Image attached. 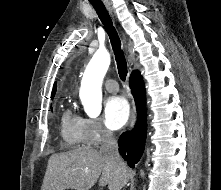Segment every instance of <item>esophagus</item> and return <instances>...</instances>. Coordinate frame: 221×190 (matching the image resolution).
I'll use <instances>...</instances> for the list:
<instances>
[{"label": "esophagus", "mask_w": 221, "mask_h": 190, "mask_svg": "<svg viewBox=\"0 0 221 190\" xmlns=\"http://www.w3.org/2000/svg\"><path fill=\"white\" fill-rule=\"evenodd\" d=\"M105 4H106L108 10L110 12H112L110 3L107 0L105 1ZM135 119H136V108H135L134 102H132L131 116L129 119V128L130 129H132V127L134 126Z\"/></svg>", "instance_id": "esophagus-1"}]
</instances>
